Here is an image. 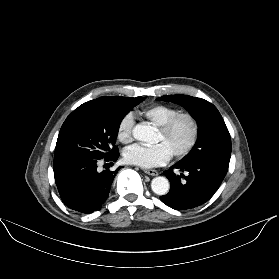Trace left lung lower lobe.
<instances>
[{
    "label": "left lung lower lobe",
    "instance_id": "1",
    "mask_svg": "<svg viewBox=\"0 0 279 279\" xmlns=\"http://www.w3.org/2000/svg\"><path fill=\"white\" fill-rule=\"evenodd\" d=\"M175 169L186 171L187 175H176ZM227 170L221 163L208 159L177 162L164 171L171 185L170 192L160 199L176 210L191 209L204 204L218 190Z\"/></svg>",
    "mask_w": 279,
    "mask_h": 279
}]
</instances>
